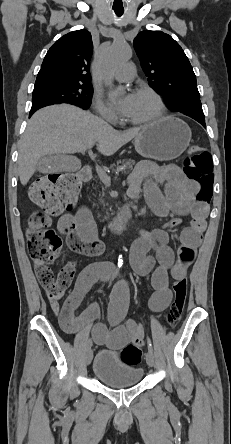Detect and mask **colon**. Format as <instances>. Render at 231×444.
Here are the masks:
<instances>
[{
    "label": "colon",
    "mask_w": 231,
    "mask_h": 444,
    "mask_svg": "<svg viewBox=\"0 0 231 444\" xmlns=\"http://www.w3.org/2000/svg\"><path fill=\"white\" fill-rule=\"evenodd\" d=\"M185 175L196 182L200 189L199 201L207 203L212 197L213 165L211 154L197 144H192L184 158ZM81 183L77 176L68 173H54L37 179L29 189L31 201L43 211L31 215L27 227V248L38 268L37 277L42 288L49 293L63 292L71 282L74 267L69 264L54 276L48 264L55 260L62 248L59 236L49 228L51 217L72 209ZM188 284L185 277L178 278L173 284L174 299L166 319L174 326L181 318ZM141 341H134L126 346L120 355L130 363L141 360Z\"/></svg>",
    "instance_id": "1"
}]
</instances>
